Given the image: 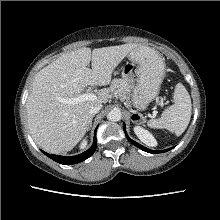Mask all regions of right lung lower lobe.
Here are the masks:
<instances>
[{
  "instance_id": "1",
  "label": "right lung lower lobe",
  "mask_w": 220,
  "mask_h": 220,
  "mask_svg": "<svg viewBox=\"0 0 220 220\" xmlns=\"http://www.w3.org/2000/svg\"><path fill=\"white\" fill-rule=\"evenodd\" d=\"M96 130H97V128L95 129V132H94V142H93L91 148H89L84 153H81L76 156L66 157V156L48 154L44 151H42V152L45 155H47L49 158L53 159L54 161H56L60 164L69 165V164H76V163L82 162V161L86 160L87 158H89L96 150V147H97Z\"/></svg>"
}]
</instances>
